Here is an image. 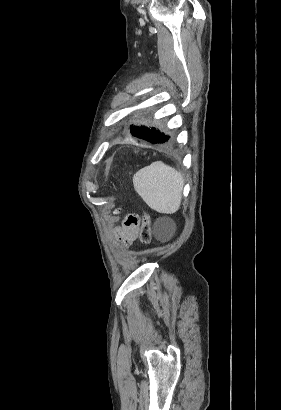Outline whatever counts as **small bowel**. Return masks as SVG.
Here are the masks:
<instances>
[{
    "instance_id": "1",
    "label": "small bowel",
    "mask_w": 281,
    "mask_h": 410,
    "mask_svg": "<svg viewBox=\"0 0 281 410\" xmlns=\"http://www.w3.org/2000/svg\"><path fill=\"white\" fill-rule=\"evenodd\" d=\"M139 226L137 223H132L129 217L123 222L121 227L116 231V237L124 243L125 246L132 244L138 236Z\"/></svg>"
}]
</instances>
